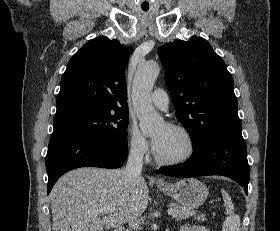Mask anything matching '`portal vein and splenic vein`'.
<instances>
[{"label":"portal vein and splenic vein","mask_w":280,"mask_h":231,"mask_svg":"<svg viewBox=\"0 0 280 231\" xmlns=\"http://www.w3.org/2000/svg\"><path fill=\"white\" fill-rule=\"evenodd\" d=\"M108 211H112V207H103V209H99V211H96V213H108ZM175 209H172V207H170V209H168V213H174Z\"/></svg>","instance_id":"obj_1"}]
</instances>
